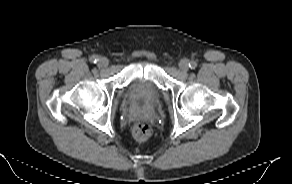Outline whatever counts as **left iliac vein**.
Returning a JSON list of instances; mask_svg holds the SVG:
<instances>
[{"label": "left iliac vein", "mask_w": 292, "mask_h": 184, "mask_svg": "<svg viewBox=\"0 0 292 184\" xmlns=\"http://www.w3.org/2000/svg\"><path fill=\"white\" fill-rule=\"evenodd\" d=\"M179 69L182 71V72H187L188 69H189V62L187 59H182L180 62H179Z\"/></svg>", "instance_id": "obj_1"}]
</instances>
